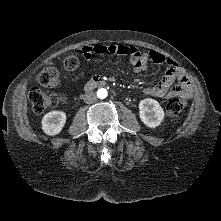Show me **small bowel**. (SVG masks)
I'll list each match as a JSON object with an SVG mask.
<instances>
[{
  "label": "small bowel",
  "instance_id": "small-bowel-1",
  "mask_svg": "<svg viewBox=\"0 0 221 221\" xmlns=\"http://www.w3.org/2000/svg\"><path fill=\"white\" fill-rule=\"evenodd\" d=\"M81 52L87 60L93 55L104 54L128 57L135 72H144L152 64L165 65L167 69L163 78L156 85L146 87L144 93L159 99L170 97L189 99L192 96L191 84L183 70L174 60L157 51L142 52L132 45L96 44L84 46Z\"/></svg>",
  "mask_w": 221,
  "mask_h": 221
}]
</instances>
